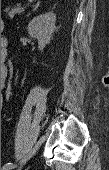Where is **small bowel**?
<instances>
[{"mask_svg": "<svg viewBox=\"0 0 109 170\" xmlns=\"http://www.w3.org/2000/svg\"><path fill=\"white\" fill-rule=\"evenodd\" d=\"M1 45H2L3 47L6 46V40H5V39H2V40H1Z\"/></svg>", "mask_w": 109, "mask_h": 170, "instance_id": "obj_1", "label": "small bowel"}]
</instances>
